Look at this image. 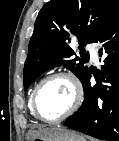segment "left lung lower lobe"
Segmentation results:
<instances>
[{
  "label": "left lung lower lobe",
  "instance_id": "1",
  "mask_svg": "<svg viewBox=\"0 0 119 141\" xmlns=\"http://www.w3.org/2000/svg\"><path fill=\"white\" fill-rule=\"evenodd\" d=\"M93 42L100 45L99 57L105 63L99 71L101 77L92 86L93 71L89 70L82 81L83 104L64 126L100 140L119 141V8Z\"/></svg>",
  "mask_w": 119,
  "mask_h": 141
}]
</instances>
